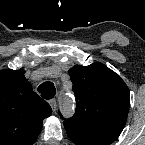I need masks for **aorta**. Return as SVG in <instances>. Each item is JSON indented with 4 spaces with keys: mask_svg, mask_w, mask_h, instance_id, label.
<instances>
[{
    "mask_svg": "<svg viewBox=\"0 0 145 145\" xmlns=\"http://www.w3.org/2000/svg\"><path fill=\"white\" fill-rule=\"evenodd\" d=\"M60 106H61L62 113L65 116H71L73 114V106H72L71 98L67 97L66 99L61 100Z\"/></svg>",
    "mask_w": 145,
    "mask_h": 145,
    "instance_id": "obj_1",
    "label": "aorta"
}]
</instances>
